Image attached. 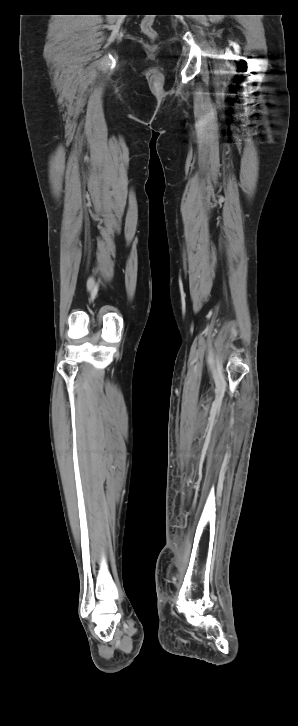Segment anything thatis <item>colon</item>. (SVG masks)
<instances>
[{
	"mask_svg": "<svg viewBox=\"0 0 298 726\" xmlns=\"http://www.w3.org/2000/svg\"><path fill=\"white\" fill-rule=\"evenodd\" d=\"M154 24V18L152 16H149L147 18H144L141 22V31L148 36L149 38H156L157 33L153 27Z\"/></svg>",
	"mask_w": 298,
	"mask_h": 726,
	"instance_id": "5ec220e1",
	"label": "colon"
}]
</instances>
